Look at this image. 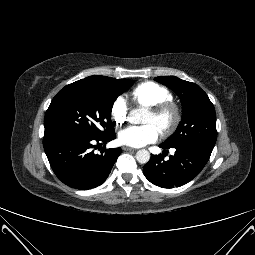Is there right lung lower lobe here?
Segmentation results:
<instances>
[{
	"instance_id": "1",
	"label": "right lung lower lobe",
	"mask_w": 255,
	"mask_h": 255,
	"mask_svg": "<svg viewBox=\"0 0 255 255\" xmlns=\"http://www.w3.org/2000/svg\"><path fill=\"white\" fill-rule=\"evenodd\" d=\"M115 138V131L97 138L80 133L48 134L43 145L56 176L71 188L88 190L107 179L122 152L121 148L103 147L100 154H95L93 148Z\"/></svg>"
}]
</instances>
